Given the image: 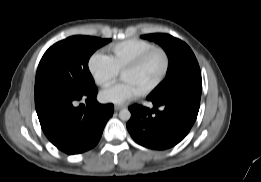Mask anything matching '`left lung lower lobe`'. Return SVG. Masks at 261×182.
Listing matches in <instances>:
<instances>
[{"label":"left lung lower lobe","mask_w":261,"mask_h":182,"mask_svg":"<svg viewBox=\"0 0 261 182\" xmlns=\"http://www.w3.org/2000/svg\"><path fill=\"white\" fill-rule=\"evenodd\" d=\"M201 92L192 91L179 94L165 101L153 103V109L141 105L129 107L131 118L127 129L140 145L163 150L178 144L193 126L200 106ZM159 107L164 108L158 110Z\"/></svg>","instance_id":"0a47b994"}]
</instances>
